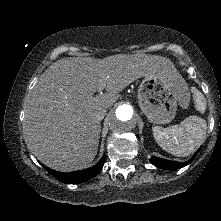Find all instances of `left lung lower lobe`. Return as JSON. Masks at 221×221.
<instances>
[{
  "label": "left lung lower lobe",
  "mask_w": 221,
  "mask_h": 221,
  "mask_svg": "<svg viewBox=\"0 0 221 221\" xmlns=\"http://www.w3.org/2000/svg\"><path fill=\"white\" fill-rule=\"evenodd\" d=\"M199 151V150H198ZM198 151L193 155V157L187 161V162H174V161H169L161 158H157L155 156L150 158V162L155 165L158 168L162 169H169V170H174V169H179L182 168L188 164H190L194 158L196 157Z\"/></svg>",
  "instance_id": "left-lung-lower-lobe-1"
}]
</instances>
